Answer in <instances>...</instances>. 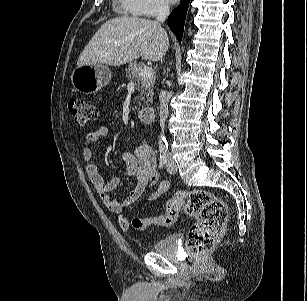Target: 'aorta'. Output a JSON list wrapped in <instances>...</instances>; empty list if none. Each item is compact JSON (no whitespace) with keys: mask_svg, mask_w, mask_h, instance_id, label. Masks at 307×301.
Wrapping results in <instances>:
<instances>
[{"mask_svg":"<svg viewBox=\"0 0 307 301\" xmlns=\"http://www.w3.org/2000/svg\"><path fill=\"white\" fill-rule=\"evenodd\" d=\"M158 144H159V147H166L167 146V140H166V137H165L163 130L158 137Z\"/></svg>","mask_w":307,"mask_h":301,"instance_id":"aorta-1","label":"aorta"}]
</instances>
